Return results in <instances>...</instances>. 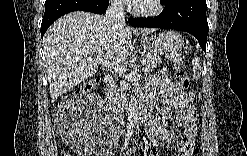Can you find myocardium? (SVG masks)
<instances>
[{
	"instance_id": "1",
	"label": "myocardium",
	"mask_w": 247,
	"mask_h": 156,
	"mask_svg": "<svg viewBox=\"0 0 247 156\" xmlns=\"http://www.w3.org/2000/svg\"><path fill=\"white\" fill-rule=\"evenodd\" d=\"M148 2L149 4L146 7H142L141 5L133 6V14L137 17L146 18L157 15L161 11V3L159 0H151Z\"/></svg>"
}]
</instances>
